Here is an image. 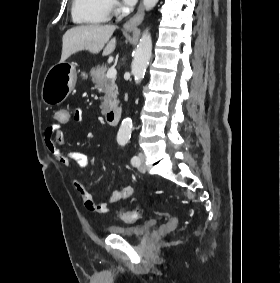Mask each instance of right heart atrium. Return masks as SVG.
Listing matches in <instances>:
<instances>
[{"label": "right heart atrium", "mask_w": 280, "mask_h": 283, "mask_svg": "<svg viewBox=\"0 0 280 283\" xmlns=\"http://www.w3.org/2000/svg\"><path fill=\"white\" fill-rule=\"evenodd\" d=\"M108 7L110 12H116L119 10V5L114 0H108Z\"/></svg>", "instance_id": "obj_1"}]
</instances>
